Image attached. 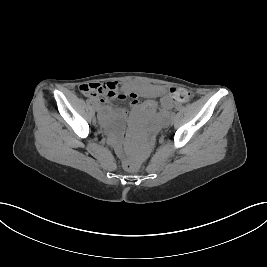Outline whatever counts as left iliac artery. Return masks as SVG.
Here are the masks:
<instances>
[{"instance_id":"1","label":"left iliac artery","mask_w":267,"mask_h":267,"mask_svg":"<svg viewBox=\"0 0 267 267\" xmlns=\"http://www.w3.org/2000/svg\"><path fill=\"white\" fill-rule=\"evenodd\" d=\"M175 116V113L174 112H171L170 115H169V118H173Z\"/></svg>"}]
</instances>
